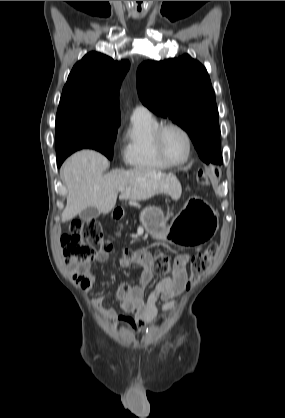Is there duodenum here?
<instances>
[{
	"instance_id": "1",
	"label": "duodenum",
	"mask_w": 285,
	"mask_h": 418,
	"mask_svg": "<svg viewBox=\"0 0 285 418\" xmlns=\"http://www.w3.org/2000/svg\"><path fill=\"white\" fill-rule=\"evenodd\" d=\"M112 214L114 219L117 221L123 218V213L118 208H114Z\"/></svg>"
}]
</instances>
